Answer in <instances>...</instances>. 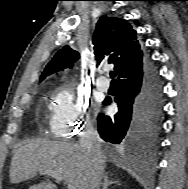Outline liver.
Returning <instances> with one entry per match:
<instances>
[{
  "label": "liver",
  "instance_id": "1",
  "mask_svg": "<svg viewBox=\"0 0 188 189\" xmlns=\"http://www.w3.org/2000/svg\"><path fill=\"white\" fill-rule=\"evenodd\" d=\"M40 170L55 171L76 189H88L90 160L78 144L48 139L28 141L14 153L10 182L17 184L35 178ZM30 189H56V186L47 179Z\"/></svg>",
  "mask_w": 188,
  "mask_h": 189
}]
</instances>
